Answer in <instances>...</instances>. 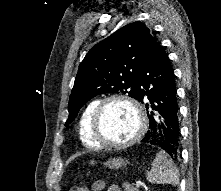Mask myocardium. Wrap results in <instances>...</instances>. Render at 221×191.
Instances as JSON below:
<instances>
[{
    "label": "myocardium",
    "mask_w": 221,
    "mask_h": 191,
    "mask_svg": "<svg viewBox=\"0 0 221 191\" xmlns=\"http://www.w3.org/2000/svg\"><path fill=\"white\" fill-rule=\"evenodd\" d=\"M114 101H122L130 105L134 109L138 118V127H137L135 134L127 141L120 142V143H113V142H109L105 140L103 136V132H102L101 123H102V116H103L104 110L109 103L114 102ZM145 128H146V116L140 103L128 95L113 94L101 100L99 104L97 105L93 114L92 122H91V135L93 139L95 140V142L100 147H107V148H112V149H123L138 142L141 139L142 135L144 134Z\"/></svg>",
    "instance_id": "1"
}]
</instances>
